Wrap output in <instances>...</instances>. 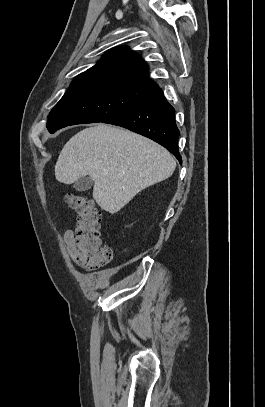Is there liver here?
<instances>
[{
	"instance_id": "6515ba94",
	"label": "liver",
	"mask_w": 265,
	"mask_h": 407,
	"mask_svg": "<svg viewBox=\"0 0 265 407\" xmlns=\"http://www.w3.org/2000/svg\"><path fill=\"white\" fill-rule=\"evenodd\" d=\"M175 167V159L161 145L99 123L78 132L64 145L55 177L69 185L89 175L96 203L114 214L145 188L168 179Z\"/></svg>"
}]
</instances>
